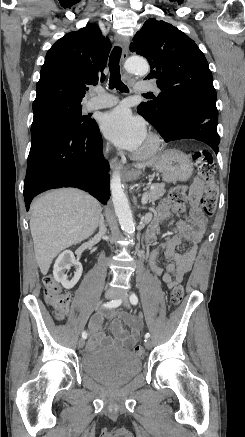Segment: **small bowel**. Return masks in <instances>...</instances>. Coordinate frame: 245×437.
<instances>
[{"label":"small bowel","instance_id":"c3829d8e","mask_svg":"<svg viewBox=\"0 0 245 437\" xmlns=\"http://www.w3.org/2000/svg\"><path fill=\"white\" fill-rule=\"evenodd\" d=\"M203 192V184L197 180L191 187L188 204H177L169 200H164L159 208V221L168 222L176 215H184L185 219L177 220L172 228L165 234L164 241L152 252L150 266L153 273L161 275L168 288L178 286L184 276L191 270L198 246L202 241L207 228V218L197 206V200ZM158 230V222L154 223L148 234L155 238ZM183 241L190 243V247L183 253H174L175 248ZM161 253L167 255L168 263L165 268L157 265V258ZM106 318L103 312L96 313L90 321L92 337L88 343V349H94L98 344L110 345L117 344L123 348H131L137 342L142 320L139 316H128L117 314L112 321V332L115 336L113 340L102 331V325ZM126 322L131 329V333L122 327Z\"/></svg>","mask_w":245,"mask_h":437}]
</instances>
